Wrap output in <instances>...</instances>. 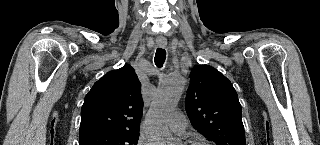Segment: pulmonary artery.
Returning <instances> with one entry per match:
<instances>
[{
    "mask_svg": "<svg viewBox=\"0 0 320 145\" xmlns=\"http://www.w3.org/2000/svg\"><path fill=\"white\" fill-rule=\"evenodd\" d=\"M187 124V119L181 111L174 112L168 119L170 129L182 136L185 135Z\"/></svg>",
    "mask_w": 320,
    "mask_h": 145,
    "instance_id": "obj_1",
    "label": "pulmonary artery"
}]
</instances>
